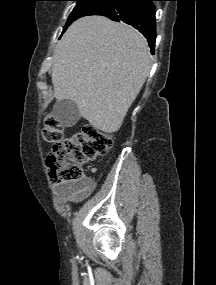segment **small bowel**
I'll use <instances>...</instances> for the list:
<instances>
[{"label": "small bowel", "instance_id": "c3829d8e", "mask_svg": "<svg viewBox=\"0 0 216 285\" xmlns=\"http://www.w3.org/2000/svg\"><path fill=\"white\" fill-rule=\"evenodd\" d=\"M58 197L64 200H81L87 197L94 189L93 182L84 178L78 182L58 183L55 186Z\"/></svg>", "mask_w": 216, "mask_h": 285}]
</instances>
